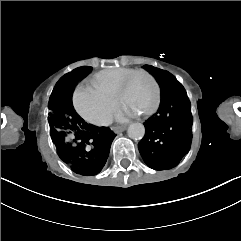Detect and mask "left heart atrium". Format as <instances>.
<instances>
[{
    "label": "left heart atrium",
    "instance_id": "left-heart-atrium-1",
    "mask_svg": "<svg viewBox=\"0 0 241 241\" xmlns=\"http://www.w3.org/2000/svg\"><path fill=\"white\" fill-rule=\"evenodd\" d=\"M129 116V114L128 113H125V114H123L121 117H119L118 119L119 120H124L126 117H128Z\"/></svg>",
    "mask_w": 241,
    "mask_h": 241
}]
</instances>
